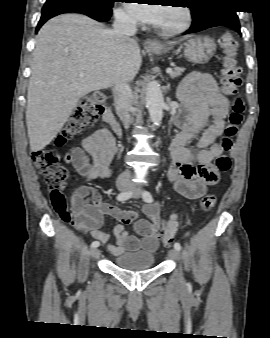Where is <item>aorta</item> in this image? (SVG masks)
<instances>
[{"label":"aorta","mask_w":270,"mask_h":338,"mask_svg":"<svg viewBox=\"0 0 270 338\" xmlns=\"http://www.w3.org/2000/svg\"><path fill=\"white\" fill-rule=\"evenodd\" d=\"M164 97L158 83L149 82L146 88V107L155 126L161 124L164 109Z\"/></svg>","instance_id":"1"}]
</instances>
